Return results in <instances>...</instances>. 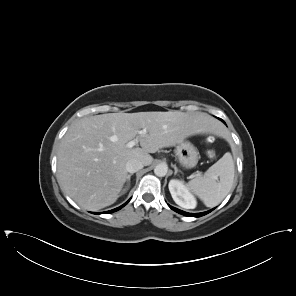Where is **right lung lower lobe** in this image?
Returning a JSON list of instances; mask_svg holds the SVG:
<instances>
[{"mask_svg": "<svg viewBox=\"0 0 296 296\" xmlns=\"http://www.w3.org/2000/svg\"><path fill=\"white\" fill-rule=\"evenodd\" d=\"M128 202H129V201H127L125 204H123L122 206H120V207H118V208H116V209H113V210H110V211H107V212H104V213H112V212H115V211L121 209L123 206H125ZM98 214H99V213H98Z\"/></svg>", "mask_w": 296, "mask_h": 296, "instance_id": "obj_1", "label": "right lung lower lobe"}]
</instances>
